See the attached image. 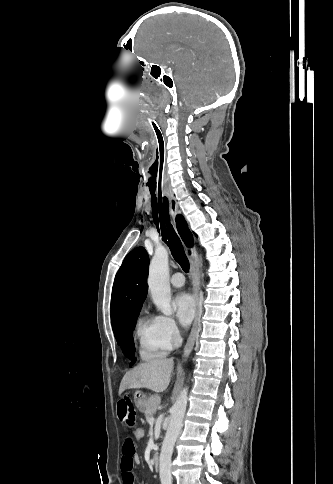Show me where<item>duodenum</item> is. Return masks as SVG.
I'll return each instance as SVG.
<instances>
[{"label":"duodenum","instance_id":"410a0bca","mask_svg":"<svg viewBox=\"0 0 333 484\" xmlns=\"http://www.w3.org/2000/svg\"><path fill=\"white\" fill-rule=\"evenodd\" d=\"M152 460H153V465H154L155 469H159V466H160V449H156L154 451Z\"/></svg>","mask_w":333,"mask_h":484}]
</instances>
